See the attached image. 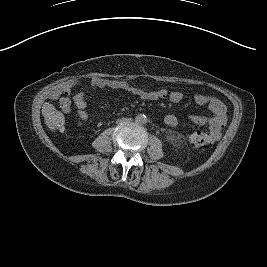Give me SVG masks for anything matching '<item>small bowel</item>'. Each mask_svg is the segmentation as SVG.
<instances>
[{
  "mask_svg": "<svg viewBox=\"0 0 267 267\" xmlns=\"http://www.w3.org/2000/svg\"><path fill=\"white\" fill-rule=\"evenodd\" d=\"M90 85L93 89H100V88L126 89L144 101L167 99L172 103H179L184 99V95L182 94V92L169 91L166 88H157L155 90L149 91L136 86L128 85L123 82L104 81L98 78L91 80ZM74 86H75L74 83H70L63 88L62 94H64V96H61L59 98L60 107L64 112H70L71 103L73 101V104L77 110L79 118L81 120H87L88 113L86 110L87 109L86 92L79 91L75 93L72 97V101L68 97ZM193 101L196 105L207 106L212 116L206 117V116L192 115L189 117V121L194 125L208 127V132L207 133L203 132V134H205V136L208 138L210 144L212 142L218 141L222 136V131L227 122L225 105L217 98L202 93H196L193 96ZM164 123L169 127H176L178 125V119L174 115H167L164 118ZM195 133H200V132H195Z\"/></svg>",
  "mask_w": 267,
  "mask_h": 267,
  "instance_id": "c3829d8e",
  "label": "small bowel"
}]
</instances>
